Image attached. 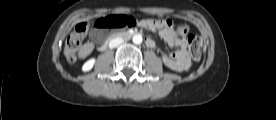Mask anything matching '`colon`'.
Returning <instances> with one entry per match:
<instances>
[{
	"instance_id": "colon-1",
	"label": "colon",
	"mask_w": 276,
	"mask_h": 120,
	"mask_svg": "<svg viewBox=\"0 0 276 120\" xmlns=\"http://www.w3.org/2000/svg\"><path fill=\"white\" fill-rule=\"evenodd\" d=\"M90 21H83L75 26L73 33H71L65 43L64 53L68 61L76 60L77 53L80 47V40L83 34L90 26ZM142 19L138 15L128 16L120 13H114L109 17L100 18L95 22V27L98 31V40L103 37V31L111 28L135 29L140 27ZM163 24L172 25L170 20H163ZM177 31L180 36L184 37L188 43V51L192 58L199 59L202 54L203 42L199 36L189 34V27L184 23H179Z\"/></svg>"
}]
</instances>
